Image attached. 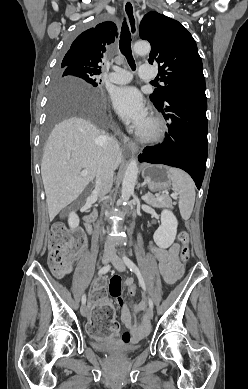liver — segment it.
Returning <instances> with one entry per match:
<instances>
[{"label":"liver","mask_w":248,"mask_h":389,"mask_svg":"<svg viewBox=\"0 0 248 389\" xmlns=\"http://www.w3.org/2000/svg\"><path fill=\"white\" fill-rule=\"evenodd\" d=\"M76 93L78 100L97 104L89 87L77 85ZM60 94L64 97L60 102H71L66 99V96H70L69 89H64ZM106 138L92 122L82 117L65 119L54 127L46 142L41 163L50 221L93 181ZM121 160L122 151H119L115 168ZM81 169L87 171L86 176L80 174Z\"/></svg>","instance_id":"1"}]
</instances>
